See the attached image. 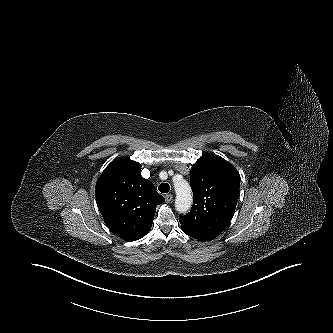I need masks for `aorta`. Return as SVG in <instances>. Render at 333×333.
I'll list each match as a JSON object with an SVG mask.
<instances>
[{
	"label": "aorta",
	"mask_w": 333,
	"mask_h": 333,
	"mask_svg": "<svg viewBox=\"0 0 333 333\" xmlns=\"http://www.w3.org/2000/svg\"><path fill=\"white\" fill-rule=\"evenodd\" d=\"M176 192L175 208L180 213L187 212L192 205V191L190 185L185 180H180L174 183Z\"/></svg>",
	"instance_id": "762f6f07"
}]
</instances>
